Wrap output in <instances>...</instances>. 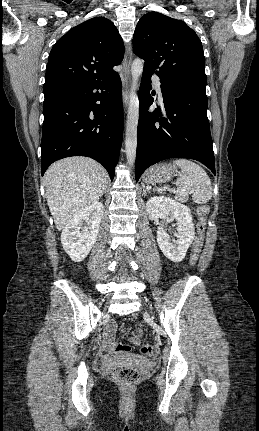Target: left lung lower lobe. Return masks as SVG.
<instances>
[{
  "label": "left lung lower lobe",
  "mask_w": 259,
  "mask_h": 431,
  "mask_svg": "<svg viewBox=\"0 0 259 431\" xmlns=\"http://www.w3.org/2000/svg\"><path fill=\"white\" fill-rule=\"evenodd\" d=\"M152 74L143 71L139 90L136 181L149 166L173 157L200 161L215 174L206 92L161 80L164 108L150 113Z\"/></svg>",
  "instance_id": "0a47b994"
}]
</instances>
